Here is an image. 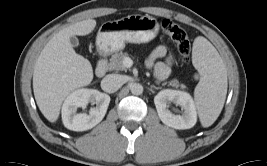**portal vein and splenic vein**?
Wrapping results in <instances>:
<instances>
[{"mask_svg": "<svg viewBox=\"0 0 267 166\" xmlns=\"http://www.w3.org/2000/svg\"><path fill=\"white\" fill-rule=\"evenodd\" d=\"M123 64H124V66L129 68V67H131L133 65V60L131 58H129V57H126L123 60Z\"/></svg>", "mask_w": 267, "mask_h": 166, "instance_id": "obj_1", "label": "portal vein and splenic vein"}]
</instances>
